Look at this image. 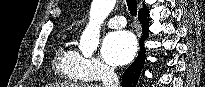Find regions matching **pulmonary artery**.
Listing matches in <instances>:
<instances>
[{"label": "pulmonary artery", "mask_w": 205, "mask_h": 87, "mask_svg": "<svg viewBox=\"0 0 205 87\" xmlns=\"http://www.w3.org/2000/svg\"><path fill=\"white\" fill-rule=\"evenodd\" d=\"M106 24L110 28H123V27L126 26V19L122 15H116V16H113V17L109 18L106 21Z\"/></svg>", "instance_id": "pulmonary-artery-1"}]
</instances>
